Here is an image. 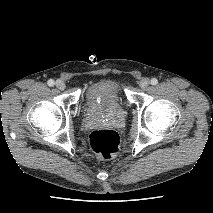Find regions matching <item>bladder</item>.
<instances>
[{
  "mask_svg": "<svg viewBox=\"0 0 213 213\" xmlns=\"http://www.w3.org/2000/svg\"><path fill=\"white\" fill-rule=\"evenodd\" d=\"M122 87L116 79H102L89 85L85 91V104L90 108L105 107L120 101Z\"/></svg>",
  "mask_w": 213,
  "mask_h": 213,
  "instance_id": "1",
  "label": "bladder"
}]
</instances>
